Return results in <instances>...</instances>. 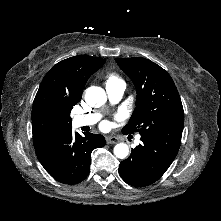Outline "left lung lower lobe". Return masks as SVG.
I'll list each match as a JSON object with an SVG mask.
<instances>
[{"instance_id":"0a47b994","label":"left lung lower lobe","mask_w":221,"mask_h":221,"mask_svg":"<svg viewBox=\"0 0 221 221\" xmlns=\"http://www.w3.org/2000/svg\"><path fill=\"white\" fill-rule=\"evenodd\" d=\"M142 144L120 162L119 174L135 187L148 186L157 181L175 159L180 145L141 136Z\"/></svg>"}]
</instances>
